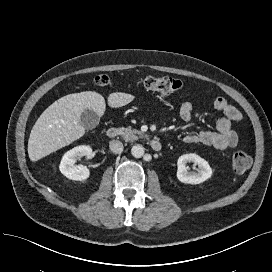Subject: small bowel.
<instances>
[{
  "label": "small bowel",
  "mask_w": 272,
  "mask_h": 272,
  "mask_svg": "<svg viewBox=\"0 0 272 272\" xmlns=\"http://www.w3.org/2000/svg\"><path fill=\"white\" fill-rule=\"evenodd\" d=\"M214 107L221 111L223 117L217 122L216 130H204L198 133H189L183 137V142L192 144L200 143L217 149L235 147L238 143V135L232 129V123L242 120V113L225 98L217 97L213 100ZM195 103L184 102L179 108L180 118L187 122L191 119Z\"/></svg>",
  "instance_id": "c3829d8e"
}]
</instances>
